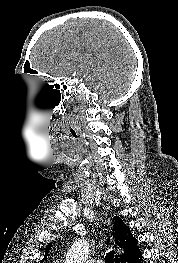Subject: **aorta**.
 I'll list each match as a JSON object with an SVG mask.
<instances>
[{"instance_id":"aorta-1","label":"aorta","mask_w":178,"mask_h":263,"mask_svg":"<svg viewBox=\"0 0 178 263\" xmlns=\"http://www.w3.org/2000/svg\"><path fill=\"white\" fill-rule=\"evenodd\" d=\"M88 252L89 243L87 240L78 239L68 252L64 263H84Z\"/></svg>"}]
</instances>
